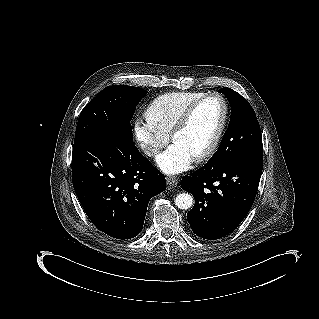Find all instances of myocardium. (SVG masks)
Returning <instances> with one entry per match:
<instances>
[{
    "mask_svg": "<svg viewBox=\"0 0 319 319\" xmlns=\"http://www.w3.org/2000/svg\"><path fill=\"white\" fill-rule=\"evenodd\" d=\"M210 99H215L220 103V106H221L220 121H219L218 127H217L211 141L208 143V145L204 149H202L201 151L194 153L195 159H197V160H201V159L205 158L206 156H208L215 149V147L217 146V144L222 136V133H223V130L225 127V123H226V118H227V105H226V102H225L223 96L218 94V93H212V94L205 95L202 98H200L199 100H197L179 118V120L175 124V126L172 130V134H171L172 139L174 140L176 138L177 134L179 133V131L184 127V125L189 120L193 111L199 105H201L203 102L210 100Z\"/></svg>",
    "mask_w": 319,
    "mask_h": 319,
    "instance_id": "1",
    "label": "myocardium"
}]
</instances>
